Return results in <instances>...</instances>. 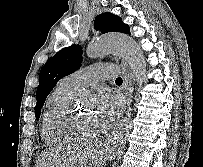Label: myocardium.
<instances>
[{
	"mask_svg": "<svg viewBox=\"0 0 203 167\" xmlns=\"http://www.w3.org/2000/svg\"><path fill=\"white\" fill-rule=\"evenodd\" d=\"M82 95L77 91L70 100L67 108L59 115L56 120V128L58 131L69 138L71 141L83 142L95 138L99 134V130L91 133H81L74 126V113L76 110L77 100Z\"/></svg>",
	"mask_w": 203,
	"mask_h": 167,
	"instance_id": "myocardium-1",
	"label": "myocardium"
}]
</instances>
